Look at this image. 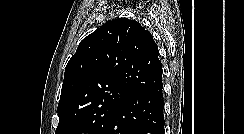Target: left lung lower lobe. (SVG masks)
Here are the masks:
<instances>
[{"mask_svg": "<svg viewBox=\"0 0 244 134\" xmlns=\"http://www.w3.org/2000/svg\"><path fill=\"white\" fill-rule=\"evenodd\" d=\"M163 85L127 98L103 134H164Z\"/></svg>", "mask_w": 244, "mask_h": 134, "instance_id": "1", "label": "left lung lower lobe"}]
</instances>
